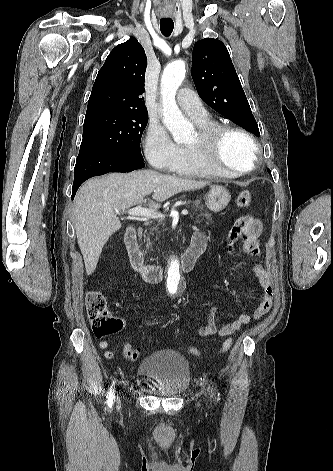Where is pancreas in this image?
<instances>
[{"label":"pancreas","instance_id":"cf45deb5","mask_svg":"<svg viewBox=\"0 0 333 471\" xmlns=\"http://www.w3.org/2000/svg\"><path fill=\"white\" fill-rule=\"evenodd\" d=\"M189 203H190V201H189ZM192 206L195 209V211H197V210L200 211V214H198L197 217H196L195 223H201L204 218L208 221L207 224H209V222H212L211 214H209L207 211L203 212L204 211L203 206L200 205L199 200H196V201L192 202ZM154 232H158L157 227L152 228L149 232V235H153ZM145 234H146V232L144 233V236H145ZM146 247L148 249L152 248V242L150 241L149 236L146 238Z\"/></svg>","mask_w":333,"mask_h":471}]
</instances>
